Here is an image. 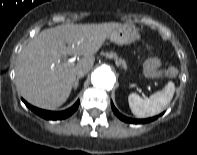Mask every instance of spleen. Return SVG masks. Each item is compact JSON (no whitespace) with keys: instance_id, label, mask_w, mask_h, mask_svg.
I'll return each instance as SVG.
<instances>
[{"instance_id":"3e777b00","label":"spleen","mask_w":197,"mask_h":155,"mask_svg":"<svg viewBox=\"0 0 197 155\" xmlns=\"http://www.w3.org/2000/svg\"><path fill=\"white\" fill-rule=\"evenodd\" d=\"M175 92L173 82H168L163 90L152 94L147 99L132 93L128 96V103L132 113L139 118L151 117L162 112L170 103Z\"/></svg>"}]
</instances>
